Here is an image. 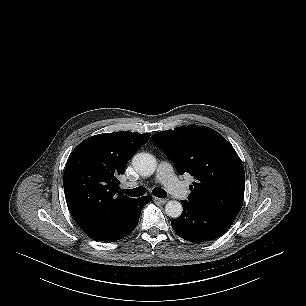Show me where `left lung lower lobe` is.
I'll return each mask as SVG.
<instances>
[{
  "instance_id": "0a47b994",
  "label": "left lung lower lobe",
  "mask_w": 306,
  "mask_h": 306,
  "mask_svg": "<svg viewBox=\"0 0 306 306\" xmlns=\"http://www.w3.org/2000/svg\"><path fill=\"white\" fill-rule=\"evenodd\" d=\"M182 215L171 221L174 231L183 239L200 243L223 235L236 215L216 209L201 208L183 200Z\"/></svg>"
}]
</instances>
